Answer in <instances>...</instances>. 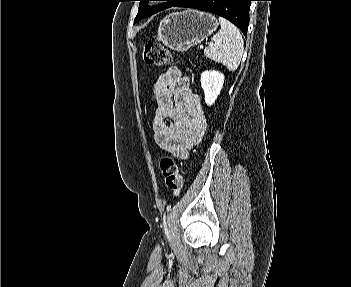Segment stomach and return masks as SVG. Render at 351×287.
<instances>
[{
    "label": "stomach",
    "mask_w": 351,
    "mask_h": 287,
    "mask_svg": "<svg viewBox=\"0 0 351 287\" xmlns=\"http://www.w3.org/2000/svg\"><path fill=\"white\" fill-rule=\"evenodd\" d=\"M217 27V19L208 13L196 10L171 13L161 20L157 40L174 51L184 52L209 37Z\"/></svg>",
    "instance_id": "stomach-1"
}]
</instances>
